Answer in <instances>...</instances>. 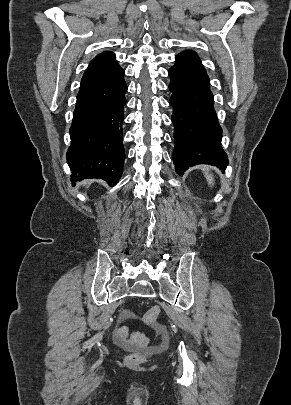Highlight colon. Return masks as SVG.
<instances>
[{"label":"colon","mask_w":291,"mask_h":405,"mask_svg":"<svg viewBox=\"0 0 291 405\" xmlns=\"http://www.w3.org/2000/svg\"><path fill=\"white\" fill-rule=\"evenodd\" d=\"M160 315V308L158 306L152 307L143 316V322L147 325H154ZM116 337L124 342L144 346L147 339L140 333H130L126 326H121L116 332ZM145 357L141 353H133L127 357V363L135 366L144 362Z\"/></svg>","instance_id":"obj_1"}]
</instances>
